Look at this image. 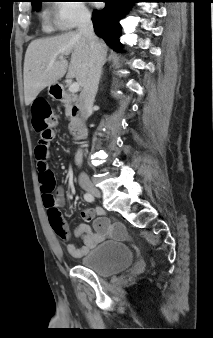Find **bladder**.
<instances>
[{
    "label": "bladder",
    "mask_w": 213,
    "mask_h": 338,
    "mask_svg": "<svg viewBox=\"0 0 213 338\" xmlns=\"http://www.w3.org/2000/svg\"><path fill=\"white\" fill-rule=\"evenodd\" d=\"M132 263L131 250L123 242H101L81 259L82 267L102 278L122 273Z\"/></svg>",
    "instance_id": "obj_1"
}]
</instances>
